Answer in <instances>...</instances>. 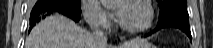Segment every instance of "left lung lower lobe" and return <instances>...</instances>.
<instances>
[{"instance_id":"1","label":"left lung lower lobe","mask_w":213,"mask_h":48,"mask_svg":"<svg viewBox=\"0 0 213 48\" xmlns=\"http://www.w3.org/2000/svg\"><path fill=\"white\" fill-rule=\"evenodd\" d=\"M167 27H174V28L181 29L184 33L187 34V36L191 40V32H190L188 17H183L179 15H168L162 19H159L158 25L152 31V33ZM148 35L149 34H147V36Z\"/></svg>"}]
</instances>
